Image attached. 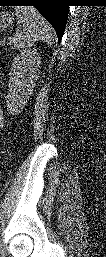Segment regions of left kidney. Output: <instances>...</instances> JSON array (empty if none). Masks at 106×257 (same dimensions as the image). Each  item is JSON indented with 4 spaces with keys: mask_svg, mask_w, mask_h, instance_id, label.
Instances as JSON below:
<instances>
[{
    "mask_svg": "<svg viewBox=\"0 0 106 257\" xmlns=\"http://www.w3.org/2000/svg\"><path fill=\"white\" fill-rule=\"evenodd\" d=\"M41 58L35 49H25L17 55L10 69L7 107L12 111L21 109L31 95L38 78Z\"/></svg>",
    "mask_w": 106,
    "mask_h": 257,
    "instance_id": "obj_1",
    "label": "left kidney"
}]
</instances>
